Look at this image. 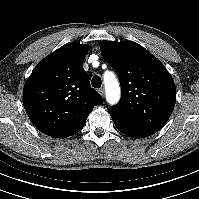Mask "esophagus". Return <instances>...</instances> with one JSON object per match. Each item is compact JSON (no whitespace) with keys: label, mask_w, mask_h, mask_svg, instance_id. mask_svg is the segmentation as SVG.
Here are the masks:
<instances>
[{"label":"esophagus","mask_w":199,"mask_h":199,"mask_svg":"<svg viewBox=\"0 0 199 199\" xmlns=\"http://www.w3.org/2000/svg\"><path fill=\"white\" fill-rule=\"evenodd\" d=\"M98 92H99V94H100L102 97L105 96V89H104V88H100V89L98 90Z\"/></svg>","instance_id":"esophagus-1"}]
</instances>
